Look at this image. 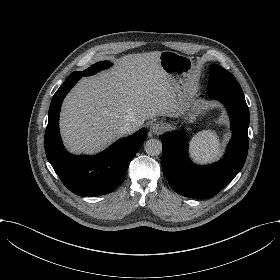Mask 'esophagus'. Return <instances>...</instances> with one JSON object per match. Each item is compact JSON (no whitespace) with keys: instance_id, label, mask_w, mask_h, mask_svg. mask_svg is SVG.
I'll list each match as a JSON object with an SVG mask.
<instances>
[{"instance_id":"obj_1","label":"esophagus","mask_w":280,"mask_h":280,"mask_svg":"<svg viewBox=\"0 0 280 280\" xmlns=\"http://www.w3.org/2000/svg\"><path fill=\"white\" fill-rule=\"evenodd\" d=\"M165 129L166 125L160 121L154 122L150 125V132L154 135L162 133Z\"/></svg>"}]
</instances>
